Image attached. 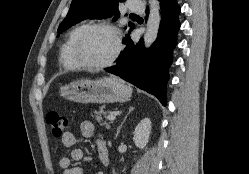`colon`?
<instances>
[{
    "mask_svg": "<svg viewBox=\"0 0 249 174\" xmlns=\"http://www.w3.org/2000/svg\"><path fill=\"white\" fill-rule=\"evenodd\" d=\"M46 121L55 137L63 136L70 127L69 118L58 111L48 112Z\"/></svg>",
    "mask_w": 249,
    "mask_h": 174,
    "instance_id": "obj_1",
    "label": "colon"
}]
</instances>
